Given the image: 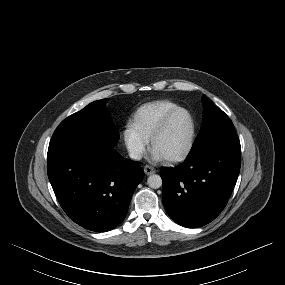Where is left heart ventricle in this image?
Here are the masks:
<instances>
[{"label":"left heart ventricle","mask_w":285,"mask_h":285,"mask_svg":"<svg viewBox=\"0 0 285 285\" xmlns=\"http://www.w3.org/2000/svg\"><path fill=\"white\" fill-rule=\"evenodd\" d=\"M190 133V120L187 114H176L164 133L157 139L154 151L164 159L180 154L187 145Z\"/></svg>","instance_id":"obj_1"}]
</instances>
